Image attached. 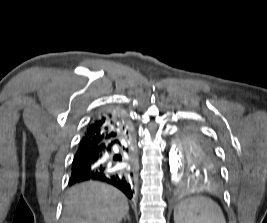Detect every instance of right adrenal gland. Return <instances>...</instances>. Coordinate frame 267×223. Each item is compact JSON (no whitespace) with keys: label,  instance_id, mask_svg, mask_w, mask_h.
Returning a JSON list of instances; mask_svg holds the SVG:
<instances>
[{"label":"right adrenal gland","instance_id":"2a0ac1e0","mask_svg":"<svg viewBox=\"0 0 267 223\" xmlns=\"http://www.w3.org/2000/svg\"><path fill=\"white\" fill-rule=\"evenodd\" d=\"M128 219V221H130V216H129V214H127V216L124 218V219Z\"/></svg>","mask_w":267,"mask_h":223}]
</instances>
